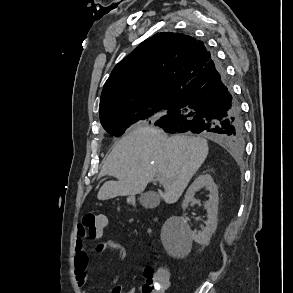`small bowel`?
<instances>
[{"label":"small bowel","mask_w":293,"mask_h":293,"mask_svg":"<svg viewBox=\"0 0 293 293\" xmlns=\"http://www.w3.org/2000/svg\"><path fill=\"white\" fill-rule=\"evenodd\" d=\"M95 253H105L114 251L120 260L127 256V248L124 244L114 239H104L97 243L93 250ZM90 262V251L86 247V237L83 234L82 228L79 226L77 229L75 240V253L73 257V267L76 275L77 282L80 286H85L87 283V270ZM169 287V286H168ZM83 293H91L84 291ZM111 293H138L137 289L132 287L125 290L121 285H116L112 288Z\"/></svg>","instance_id":"obj_1"}]
</instances>
